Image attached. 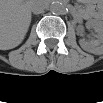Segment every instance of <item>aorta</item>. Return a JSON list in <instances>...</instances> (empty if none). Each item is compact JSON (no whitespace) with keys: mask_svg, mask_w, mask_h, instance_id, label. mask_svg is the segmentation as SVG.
<instances>
[{"mask_svg":"<svg viewBox=\"0 0 103 103\" xmlns=\"http://www.w3.org/2000/svg\"><path fill=\"white\" fill-rule=\"evenodd\" d=\"M50 11L53 14H63L65 12V7L60 1H54L50 5Z\"/></svg>","mask_w":103,"mask_h":103,"instance_id":"1","label":"aorta"}]
</instances>
